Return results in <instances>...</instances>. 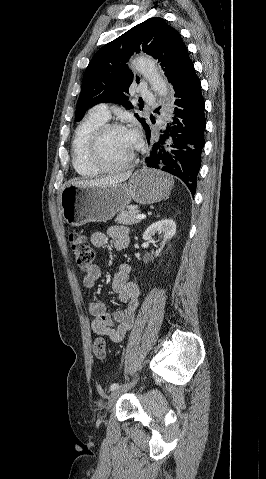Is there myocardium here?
I'll return each mask as SVG.
<instances>
[{"label": "myocardium", "mask_w": 266, "mask_h": 479, "mask_svg": "<svg viewBox=\"0 0 266 479\" xmlns=\"http://www.w3.org/2000/svg\"><path fill=\"white\" fill-rule=\"evenodd\" d=\"M113 130H127V128L119 123H104L94 131L88 144V161L96 170L100 171L101 173L118 172L129 168L134 162L136 151L139 146L138 142H136L130 156L125 162L118 165H109L105 163L100 155V146L105 135Z\"/></svg>", "instance_id": "obj_1"}]
</instances>
